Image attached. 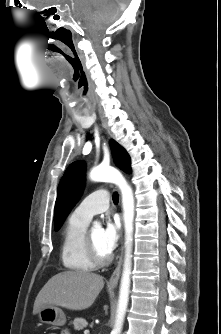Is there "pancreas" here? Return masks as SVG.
<instances>
[{
	"instance_id": "pancreas-1",
	"label": "pancreas",
	"mask_w": 221,
	"mask_h": 334,
	"mask_svg": "<svg viewBox=\"0 0 221 334\" xmlns=\"http://www.w3.org/2000/svg\"><path fill=\"white\" fill-rule=\"evenodd\" d=\"M87 325V321L83 318H75L73 321L74 329L77 331L83 330Z\"/></svg>"
}]
</instances>
